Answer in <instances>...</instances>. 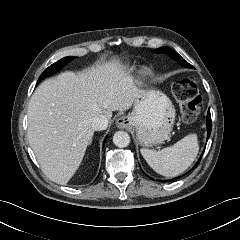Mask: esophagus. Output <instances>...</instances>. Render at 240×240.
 Instances as JSON below:
<instances>
[{
  "mask_svg": "<svg viewBox=\"0 0 240 240\" xmlns=\"http://www.w3.org/2000/svg\"><path fill=\"white\" fill-rule=\"evenodd\" d=\"M118 128L124 129L131 125V119L128 116H121L117 119Z\"/></svg>",
  "mask_w": 240,
  "mask_h": 240,
  "instance_id": "1",
  "label": "esophagus"
}]
</instances>
